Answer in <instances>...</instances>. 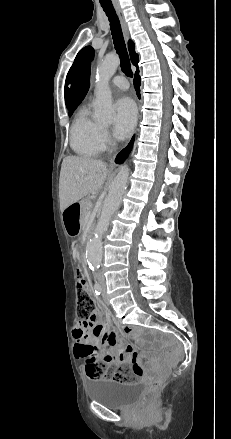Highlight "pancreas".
<instances>
[{"instance_id":"obj_1","label":"pancreas","mask_w":231,"mask_h":439,"mask_svg":"<svg viewBox=\"0 0 231 439\" xmlns=\"http://www.w3.org/2000/svg\"><path fill=\"white\" fill-rule=\"evenodd\" d=\"M91 208L92 202L90 198H85L80 202V220L82 224L87 222Z\"/></svg>"}]
</instances>
